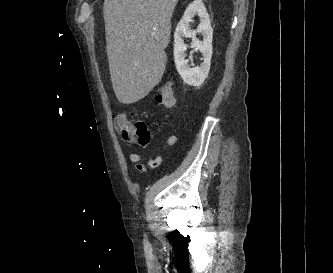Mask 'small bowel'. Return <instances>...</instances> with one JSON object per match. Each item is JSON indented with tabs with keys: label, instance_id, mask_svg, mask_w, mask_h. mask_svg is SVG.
<instances>
[{
	"label": "small bowel",
	"instance_id": "c3829d8e",
	"mask_svg": "<svg viewBox=\"0 0 333 273\" xmlns=\"http://www.w3.org/2000/svg\"><path fill=\"white\" fill-rule=\"evenodd\" d=\"M177 143V136L176 135H170L166 139V147L170 148L174 146ZM128 158L131 162L135 164H142L147 163L150 167H157L162 162V157L160 155L155 156L153 159H144L142 156H140L138 153L131 152L128 154Z\"/></svg>",
	"mask_w": 333,
	"mask_h": 273
}]
</instances>
